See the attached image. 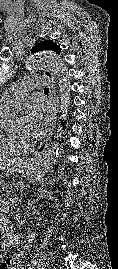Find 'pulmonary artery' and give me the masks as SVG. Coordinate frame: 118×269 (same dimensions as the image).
<instances>
[{"label": "pulmonary artery", "instance_id": "1", "mask_svg": "<svg viewBox=\"0 0 118 269\" xmlns=\"http://www.w3.org/2000/svg\"><path fill=\"white\" fill-rule=\"evenodd\" d=\"M45 85H47V81L43 77L19 79L0 97V108L9 110L20 105L28 96L30 90L40 89Z\"/></svg>", "mask_w": 118, "mask_h": 269}]
</instances>
